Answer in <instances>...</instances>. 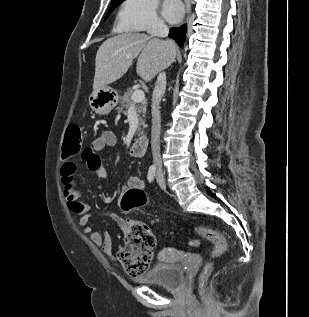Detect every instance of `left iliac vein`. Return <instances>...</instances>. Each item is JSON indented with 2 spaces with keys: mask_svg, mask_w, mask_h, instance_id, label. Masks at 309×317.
Returning a JSON list of instances; mask_svg holds the SVG:
<instances>
[{
  "mask_svg": "<svg viewBox=\"0 0 309 317\" xmlns=\"http://www.w3.org/2000/svg\"><path fill=\"white\" fill-rule=\"evenodd\" d=\"M157 183L159 184V186L161 188H163V189L166 188L165 179L161 173H158V175H157Z\"/></svg>",
  "mask_w": 309,
  "mask_h": 317,
  "instance_id": "4c4485c4",
  "label": "left iliac vein"
}]
</instances>
